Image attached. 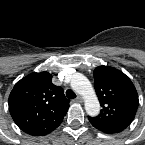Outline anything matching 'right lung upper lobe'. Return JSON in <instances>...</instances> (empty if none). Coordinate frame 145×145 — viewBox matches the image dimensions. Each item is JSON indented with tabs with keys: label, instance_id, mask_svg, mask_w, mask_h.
Returning <instances> with one entry per match:
<instances>
[{
	"label": "right lung upper lobe",
	"instance_id": "obj_1",
	"mask_svg": "<svg viewBox=\"0 0 145 145\" xmlns=\"http://www.w3.org/2000/svg\"><path fill=\"white\" fill-rule=\"evenodd\" d=\"M61 87L48 72H33L18 81L9 95V111L16 125L32 136L55 130L69 108Z\"/></svg>",
	"mask_w": 145,
	"mask_h": 145
}]
</instances>
